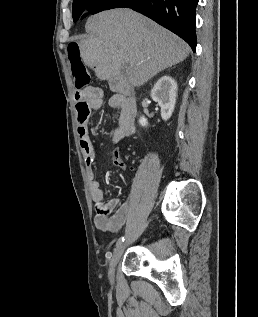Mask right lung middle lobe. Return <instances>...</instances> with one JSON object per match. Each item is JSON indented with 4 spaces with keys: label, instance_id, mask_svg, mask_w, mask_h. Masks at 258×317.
<instances>
[{
    "label": "right lung middle lobe",
    "instance_id": "right-lung-middle-lobe-1",
    "mask_svg": "<svg viewBox=\"0 0 258 317\" xmlns=\"http://www.w3.org/2000/svg\"><path fill=\"white\" fill-rule=\"evenodd\" d=\"M96 1V2H95ZM104 0H73V8H72V13H73V20L76 22L83 11L85 10L86 6L92 2L95 4L99 2H103Z\"/></svg>",
    "mask_w": 258,
    "mask_h": 317
}]
</instances>
